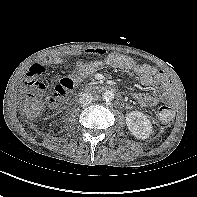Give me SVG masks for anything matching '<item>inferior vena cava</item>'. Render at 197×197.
Here are the masks:
<instances>
[{
    "mask_svg": "<svg viewBox=\"0 0 197 197\" xmlns=\"http://www.w3.org/2000/svg\"><path fill=\"white\" fill-rule=\"evenodd\" d=\"M93 100V97L89 93H81L79 96V102L83 105H88Z\"/></svg>",
    "mask_w": 197,
    "mask_h": 197,
    "instance_id": "602c4592",
    "label": "inferior vena cava"
}]
</instances>
